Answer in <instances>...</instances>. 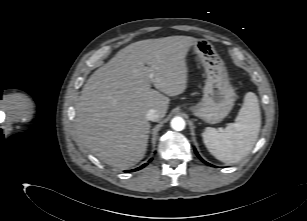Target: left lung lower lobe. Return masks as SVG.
I'll use <instances>...</instances> for the list:
<instances>
[{"instance_id": "left-lung-lower-lobe-1", "label": "left lung lower lobe", "mask_w": 307, "mask_h": 221, "mask_svg": "<svg viewBox=\"0 0 307 221\" xmlns=\"http://www.w3.org/2000/svg\"><path fill=\"white\" fill-rule=\"evenodd\" d=\"M195 153H196V155L204 162V163H206L207 165H210V166H212L211 164H209V163H207V162H205L200 156H199V154L197 153V151L195 150Z\"/></svg>"}]
</instances>
